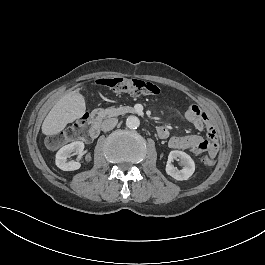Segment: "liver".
Segmentation results:
<instances>
[{"label":"liver","instance_id":"6515ba94","mask_svg":"<svg viewBox=\"0 0 265 265\" xmlns=\"http://www.w3.org/2000/svg\"><path fill=\"white\" fill-rule=\"evenodd\" d=\"M86 110L84 97L78 90L64 95L52 107L42 124V133L55 135L62 131L68 123L81 118Z\"/></svg>","mask_w":265,"mask_h":265}]
</instances>
